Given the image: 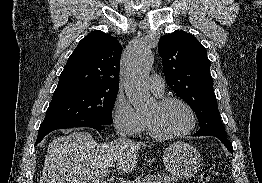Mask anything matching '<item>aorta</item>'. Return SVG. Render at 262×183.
Instances as JSON below:
<instances>
[{
	"instance_id": "1",
	"label": "aorta",
	"mask_w": 262,
	"mask_h": 183,
	"mask_svg": "<svg viewBox=\"0 0 262 183\" xmlns=\"http://www.w3.org/2000/svg\"><path fill=\"white\" fill-rule=\"evenodd\" d=\"M154 58L149 48L138 50L125 67V93L137 112H144L153 105L145 78L152 68Z\"/></svg>"
}]
</instances>
